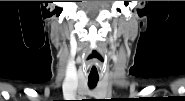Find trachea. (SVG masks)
<instances>
[{"label": "trachea", "instance_id": "obj_1", "mask_svg": "<svg viewBox=\"0 0 185 101\" xmlns=\"http://www.w3.org/2000/svg\"><path fill=\"white\" fill-rule=\"evenodd\" d=\"M98 80H99L98 69L96 66H92L90 68V73L88 76V86L90 88H94L97 85Z\"/></svg>", "mask_w": 185, "mask_h": 101}]
</instances>
